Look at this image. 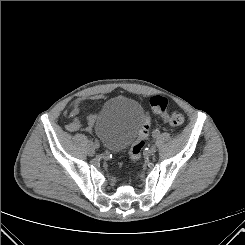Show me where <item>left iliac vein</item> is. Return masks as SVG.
<instances>
[{"label": "left iliac vein", "mask_w": 245, "mask_h": 245, "mask_svg": "<svg viewBox=\"0 0 245 245\" xmlns=\"http://www.w3.org/2000/svg\"><path fill=\"white\" fill-rule=\"evenodd\" d=\"M155 152H156V146L153 145V146H151V148H150V150H149V153H150L151 155H154Z\"/></svg>", "instance_id": "1"}]
</instances>
